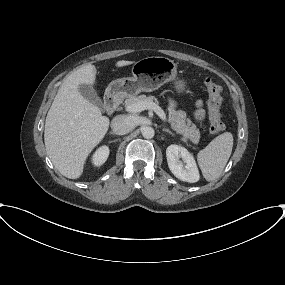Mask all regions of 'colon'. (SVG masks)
<instances>
[{
    "label": "colon",
    "mask_w": 285,
    "mask_h": 285,
    "mask_svg": "<svg viewBox=\"0 0 285 285\" xmlns=\"http://www.w3.org/2000/svg\"><path fill=\"white\" fill-rule=\"evenodd\" d=\"M205 87L209 95L207 108L210 120V132L212 134H218L224 129L221 115L222 90L221 87L211 79L205 80Z\"/></svg>",
    "instance_id": "1"
}]
</instances>
